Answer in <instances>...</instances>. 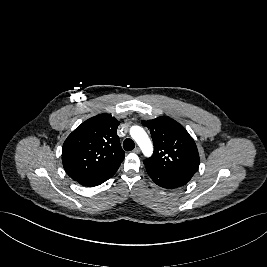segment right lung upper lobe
Returning <instances> with one entry per match:
<instances>
[{"mask_svg":"<svg viewBox=\"0 0 267 267\" xmlns=\"http://www.w3.org/2000/svg\"><path fill=\"white\" fill-rule=\"evenodd\" d=\"M110 114L94 116L77 127L65 140L62 162L75 181L99 171L119 166L124 159L117 127Z\"/></svg>","mask_w":267,"mask_h":267,"instance_id":"cb5924a9","label":"right lung upper lobe"}]
</instances>
